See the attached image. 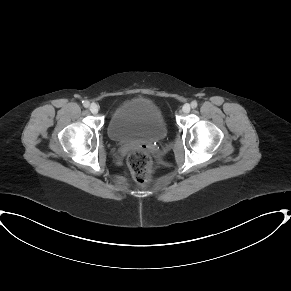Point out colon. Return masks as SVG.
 Wrapping results in <instances>:
<instances>
[{
	"label": "colon",
	"mask_w": 291,
	"mask_h": 291,
	"mask_svg": "<svg viewBox=\"0 0 291 291\" xmlns=\"http://www.w3.org/2000/svg\"><path fill=\"white\" fill-rule=\"evenodd\" d=\"M132 176L138 185H145L152 178L151 159L144 149H136L129 153L127 157Z\"/></svg>",
	"instance_id": "obj_1"
}]
</instances>
